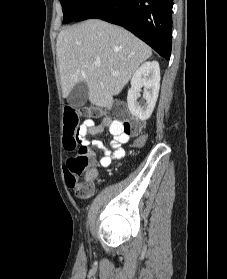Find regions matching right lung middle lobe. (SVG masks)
Returning a JSON list of instances; mask_svg holds the SVG:
<instances>
[{
  "label": "right lung middle lobe",
  "instance_id": "obj_1",
  "mask_svg": "<svg viewBox=\"0 0 227 279\" xmlns=\"http://www.w3.org/2000/svg\"><path fill=\"white\" fill-rule=\"evenodd\" d=\"M89 0H60L63 11V23L74 21Z\"/></svg>",
  "mask_w": 227,
  "mask_h": 279
}]
</instances>
